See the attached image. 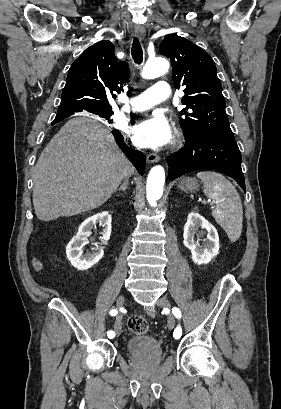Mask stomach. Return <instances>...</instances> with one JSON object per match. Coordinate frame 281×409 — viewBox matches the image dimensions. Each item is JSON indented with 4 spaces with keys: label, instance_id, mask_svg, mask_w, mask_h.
<instances>
[{
    "label": "stomach",
    "instance_id": "obj_1",
    "mask_svg": "<svg viewBox=\"0 0 281 409\" xmlns=\"http://www.w3.org/2000/svg\"><path fill=\"white\" fill-rule=\"evenodd\" d=\"M179 188L186 190V192H195L198 188V180H196V178H183V180L179 182Z\"/></svg>",
    "mask_w": 281,
    "mask_h": 409
}]
</instances>
